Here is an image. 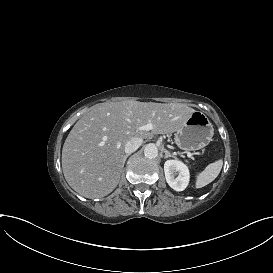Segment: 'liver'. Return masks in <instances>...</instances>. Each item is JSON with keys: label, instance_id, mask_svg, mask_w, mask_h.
Returning a JSON list of instances; mask_svg holds the SVG:
<instances>
[{"label": "liver", "instance_id": "6515ba94", "mask_svg": "<svg viewBox=\"0 0 273 273\" xmlns=\"http://www.w3.org/2000/svg\"><path fill=\"white\" fill-rule=\"evenodd\" d=\"M195 112L182 103L126 100L94 105L68 134L62 169L69 186L86 198L111 193L119 183L124 150L132 137L150 138L179 130ZM153 124L151 132L138 128Z\"/></svg>", "mask_w": 273, "mask_h": 273}]
</instances>
